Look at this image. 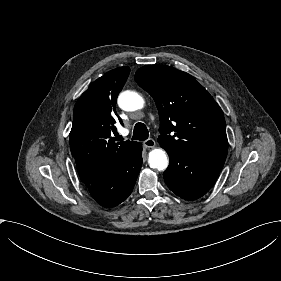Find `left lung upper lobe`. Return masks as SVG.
Masks as SVG:
<instances>
[{"label":"left lung upper lobe","mask_w":281,"mask_h":281,"mask_svg":"<svg viewBox=\"0 0 281 281\" xmlns=\"http://www.w3.org/2000/svg\"><path fill=\"white\" fill-rule=\"evenodd\" d=\"M135 80L157 105L162 147L191 157L226 159L222 110L191 75L166 65H146L137 70Z\"/></svg>","instance_id":"obj_1"}]
</instances>
